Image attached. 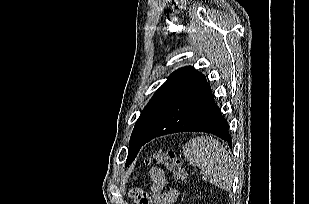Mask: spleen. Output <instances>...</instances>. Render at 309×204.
Masks as SVG:
<instances>
[{"instance_id": "3e777b00", "label": "spleen", "mask_w": 309, "mask_h": 204, "mask_svg": "<svg viewBox=\"0 0 309 204\" xmlns=\"http://www.w3.org/2000/svg\"><path fill=\"white\" fill-rule=\"evenodd\" d=\"M184 156L190 165L199 167L203 179L228 191L234 179V165L228 151L212 137H196L184 146Z\"/></svg>"}]
</instances>
